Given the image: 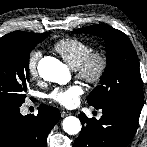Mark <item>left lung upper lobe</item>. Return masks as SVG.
<instances>
[{"mask_svg": "<svg viewBox=\"0 0 147 147\" xmlns=\"http://www.w3.org/2000/svg\"><path fill=\"white\" fill-rule=\"evenodd\" d=\"M73 32L97 35L106 44L107 66L100 85L89 94L87 102L95 108L115 105L140 114L143 90L139 61L129 38L123 32L103 24L79 28Z\"/></svg>", "mask_w": 147, "mask_h": 147, "instance_id": "5c2ea615", "label": "left lung upper lobe"}]
</instances>
